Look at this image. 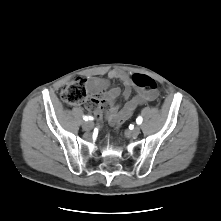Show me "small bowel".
<instances>
[{
	"mask_svg": "<svg viewBox=\"0 0 221 221\" xmlns=\"http://www.w3.org/2000/svg\"><path fill=\"white\" fill-rule=\"evenodd\" d=\"M135 75L144 74L134 73L131 75L123 70L114 69L108 73L106 79L97 77L85 79L91 94L88 108L93 111L96 119H101L105 112L106 119L110 124L122 123L132 116L138 106L157 97L156 91L143 90L137 86L133 79ZM111 80H119L124 85L122 95L127 101L122 107L114 103L121 91L118 87H109ZM134 88H136V94L131 97Z\"/></svg>",
	"mask_w": 221,
	"mask_h": 221,
	"instance_id": "obj_1",
	"label": "small bowel"
}]
</instances>
